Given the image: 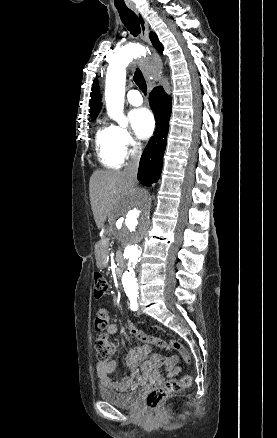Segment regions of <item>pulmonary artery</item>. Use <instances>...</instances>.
<instances>
[{"label":"pulmonary artery","instance_id":"1","mask_svg":"<svg viewBox=\"0 0 277 438\" xmlns=\"http://www.w3.org/2000/svg\"><path fill=\"white\" fill-rule=\"evenodd\" d=\"M107 78V75H106ZM143 90L140 87H131L127 94V99L129 103L133 106H140L143 104V99L140 97Z\"/></svg>","mask_w":277,"mask_h":438}]
</instances>
